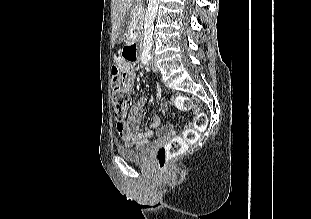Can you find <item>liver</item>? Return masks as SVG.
<instances>
[{
	"instance_id": "6515ba94",
	"label": "liver",
	"mask_w": 311,
	"mask_h": 219,
	"mask_svg": "<svg viewBox=\"0 0 311 219\" xmlns=\"http://www.w3.org/2000/svg\"><path fill=\"white\" fill-rule=\"evenodd\" d=\"M134 0H111L113 6L112 15V38L115 42L118 37L119 29L121 27V22L124 19L126 13L129 11L131 4Z\"/></svg>"
}]
</instances>
